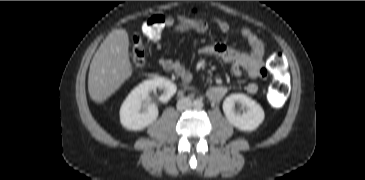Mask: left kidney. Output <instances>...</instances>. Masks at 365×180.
<instances>
[{
  "mask_svg": "<svg viewBox=\"0 0 365 180\" xmlns=\"http://www.w3.org/2000/svg\"><path fill=\"white\" fill-rule=\"evenodd\" d=\"M240 103L243 113L235 111V104ZM223 111L227 120L243 131L255 130L264 120L262 107L244 94H232L223 102Z\"/></svg>",
  "mask_w": 365,
  "mask_h": 180,
  "instance_id": "left-kidney-1",
  "label": "left kidney"
}]
</instances>
